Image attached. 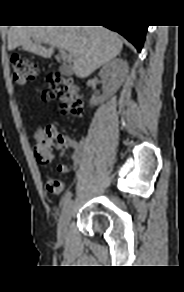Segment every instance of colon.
Segmentation results:
<instances>
[{
    "label": "colon",
    "mask_w": 184,
    "mask_h": 292,
    "mask_svg": "<svg viewBox=\"0 0 184 292\" xmlns=\"http://www.w3.org/2000/svg\"><path fill=\"white\" fill-rule=\"evenodd\" d=\"M14 80L21 85L36 79L35 65L27 58L15 55L11 59ZM48 87L42 94L44 100L58 99L60 110L63 114L80 116L84 110V100L80 88L70 78L58 73L51 74L48 79ZM50 126L37 127L34 132V155L37 162L47 165L53 158ZM46 189L52 194H59L63 190V182L56 178L46 181Z\"/></svg>",
    "instance_id": "obj_1"
}]
</instances>
